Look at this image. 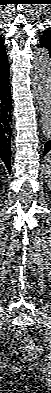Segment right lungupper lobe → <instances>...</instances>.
<instances>
[{
	"instance_id": "obj_1",
	"label": "right lung upper lobe",
	"mask_w": 51,
	"mask_h": 393,
	"mask_svg": "<svg viewBox=\"0 0 51 393\" xmlns=\"http://www.w3.org/2000/svg\"><path fill=\"white\" fill-rule=\"evenodd\" d=\"M9 69L8 58L5 51L4 41L0 36V74Z\"/></svg>"
}]
</instances>
